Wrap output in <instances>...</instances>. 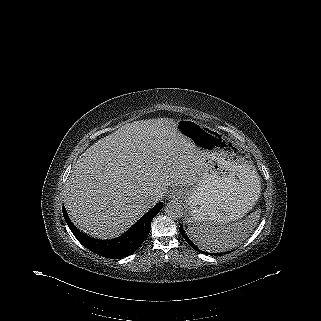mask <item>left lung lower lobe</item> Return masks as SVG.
I'll use <instances>...</instances> for the list:
<instances>
[{"instance_id":"left-lung-lower-lobe-1","label":"left lung lower lobe","mask_w":321,"mask_h":321,"mask_svg":"<svg viewBox=\"0 0 321 321\" xmlns=\"http://www.w3.org/2000/svg\"><path fill=\"white\" fill-rule=\"evenodd\" d=\"M179 231H180V233L182 234L183 238H184L196 251H198V252H200V253H203V252L200 251V250L191 242V240L187 237V235L185 234L182 226H180ZM204 254H205V253H204Z\"/></svg>"}]
</instances>
